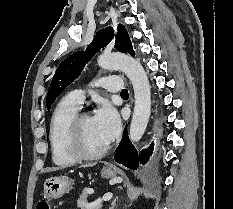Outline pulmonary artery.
Masks as SVG:
<instances>
[{
  "instance_id": "e3ab8cb5",
  "label": "pulmonary artery",
  "mask_w": 233,
  "mask_h": 209,
  "mask_svg": "<svg viewBox=\"0 0 233 209\" xmlns=\"http://www.w3.org/2000/svg\"><path fill=\"white\" fill-rule=\"evenodd\" d=\"M99 82L107 91L119 92L122 90V80L118 76H103L99 79ZM84 97V92L82 90H74L68 95L67 99L73 105L79 107L83 103Z\"/></svg>"
}]
</instances>
